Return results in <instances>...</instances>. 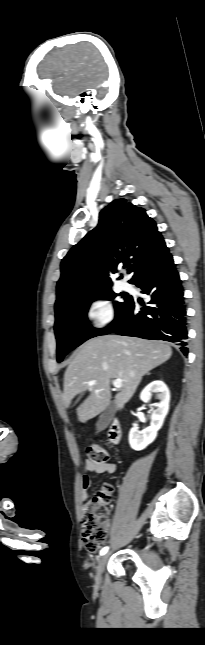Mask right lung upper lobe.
I'll return each instance as SVG.
<instances>
[{"instance_id":"cb5924a9","label":"right lung upper lobe","mask_w":205,"mask_h":645,"mask_svg":"<svg viewBox=\"0 0 205 645\" xmlns=\"http://www.w3.org/2000/svg\"><path fill=\"white\" fill-rule=\"evenodd\" d=\"M170 256L155 221L145 210L125 199L114 200L101 211L97 227L63 258L55 312L84 295L111 289L109 272H116L121 263H130L132 282Z\"/></svg>"}]
</instances>
